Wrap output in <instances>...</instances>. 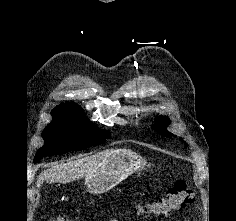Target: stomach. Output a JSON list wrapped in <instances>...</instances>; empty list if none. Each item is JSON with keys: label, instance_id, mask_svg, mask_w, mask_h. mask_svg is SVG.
<instances>
[{"label": "stomach", "instance_id": "0dacf381", "mask_svg": "<svg viewBox=\"0 0 236 221\" xmlns=\"http://www.w3.org/2000/svg\"><path fill=\"white\" fill-rule=\"evenodd\" d=\"M147 162L128 150H115L95 171L85 176V187L92 194L114 188L129 175L146 170Z\"/></svg>", "mask_w": 236, "mask_h": 221}]
</instances>
